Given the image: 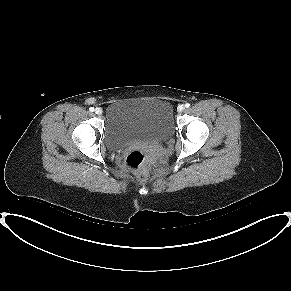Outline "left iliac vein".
<instances>
[{
	"label": "left iliac vein",
	"mask_w": 291,
	"mask_h": 291,
	"mask_svg": "<svg viewBox=\"0 0 291 291\" xmlns=\"http://www.w3.org/2000/svg\"><path fill=\"white\" fill-rule=\"evenodd\" d=\"M184 109H185V107L183 105H180L178 107V112L181 113Z\"/></svg>",
	"instance_id": "1"
}]
</instances>
